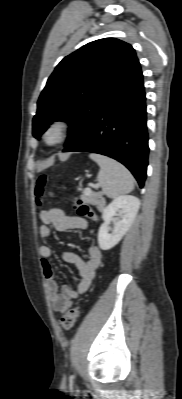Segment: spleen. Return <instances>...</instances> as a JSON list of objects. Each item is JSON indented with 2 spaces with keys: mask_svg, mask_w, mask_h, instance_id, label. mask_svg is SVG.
Masks as SVG:
<instances>
[{
  "mask_svg": "<svg viewBox=\"0 0 182 399\" xmlns=\"http://www.w3.org/2000/svg\"><path fill=\"white\" fill-rule=\"evenodd\" d=\"M89 157L100 167L97 181L106 196L113 198L134 189V178L122 164L99 154H90Z\"/></svg>",
  "mask_w": 182,
  "mask_h": 399,
  "instance_id": "1",
  "label": "spleen"
}]
</instances>
